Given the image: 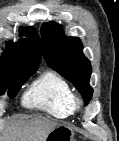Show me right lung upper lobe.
Segmentation results:
<instances>
[{"mask_svg":"<svg viewBox=\"0 0 119 141\" xmlns=\"http://www.w3.org/2000/svg\"><path fill=\"white\" fill-rule=\"evenodd\" d=\"M26 40L8 42L0 59V74H24L36 71L41 60L39 36L33 27L22 28Z\"/></svg>","mask_w":119,"mask_h":141,"instance_id":"obj_1","label":"right lung upper lobe"}]
</instances>
